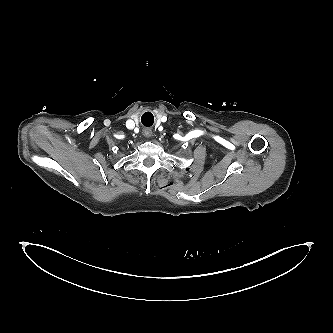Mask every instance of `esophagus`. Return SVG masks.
<instances>
[{
	"label": "esophagus",
	"mask_w": 333,
	"mask_h": 333,
	"mask_svg": "<svg viewBox=\"0 0 333 333\" xmlns=\"http://www.w3.org/2000/svg\"><path fill=\"white\" fill-rule=\"evenodd\" d=\"M144 136L149 138L152 136V131L149 130V129H145L144 132H143Z\"/></svg>",
	"instance_id": "esophagus-1"
}]
</instances>
